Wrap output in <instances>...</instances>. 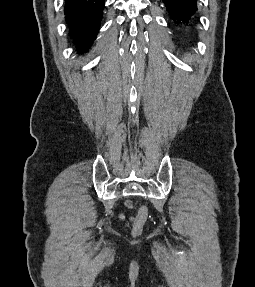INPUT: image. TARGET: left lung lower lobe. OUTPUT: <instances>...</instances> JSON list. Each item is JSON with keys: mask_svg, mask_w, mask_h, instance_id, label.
<instances>
[{"mask_svg": "<svg viewBox=\"0 0 255 287\" xmlns=\"http://www.w3.org/2000/svg\"><path fill=\"white\" fill-rule=\"evenodd\" d=\"M175 25L185 34L190 31L197 21V0H162Z\"/></svg>", "mask_w": 255, "mask_h": 287, "instance_id": "obj_1", "label": "left lung lower lobe"}]
</instances>
